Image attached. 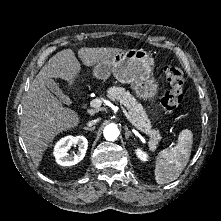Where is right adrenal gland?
Returning a JSON list of instances; mask_svg holds the SVG:
<instances>
[{
	"mask_svg": "<svg viewBox=\"0 0 221 221\" xmlns=\"http://www.w3.org/2000/svg\"><path fill=\"white\" fill-rule=\"evenodd\" d=\"M95 129V127H84V130H88V131H93Z\"/></svg>",
	"mask_w": 221,
	"mask_h": 221,
	"instance_id": "2a0ac1e0",
	"label": "right adrenal gland"
}]
</instances>
